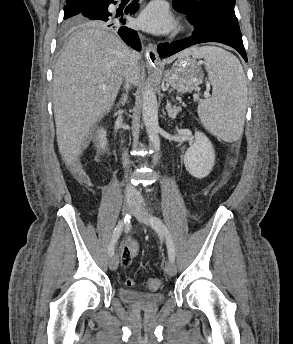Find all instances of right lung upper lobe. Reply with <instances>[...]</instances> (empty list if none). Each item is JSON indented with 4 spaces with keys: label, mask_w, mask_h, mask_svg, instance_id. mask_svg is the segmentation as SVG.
Masks as SVG:
<instances>
[{
    "label": "right lung upper lobe",
    "mask_w": 293,
    "mask_h": 344,
    "mask_svg": "<svg viewBox=\"0 0 293 344\" xmlns=\"http://www.w3.org/2000/svg\"><path fill=\"white\" fill-rule=\"evenodd\" d=\"M86 1H94V0H66V5H71V4H76V3L86 2Z\"/></svg>",
    "instance_id": "cb5924a9"
}]
</instances>
